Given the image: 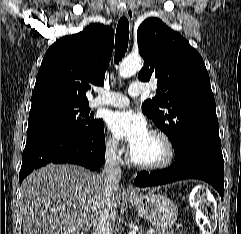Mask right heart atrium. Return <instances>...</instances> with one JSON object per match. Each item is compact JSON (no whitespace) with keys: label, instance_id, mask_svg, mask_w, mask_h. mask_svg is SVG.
<instances>
[{"label":"right heart atrium","instance_id":"obj_1","mask_svg":"<svg viewBox=\"0 0 241 234\" xmlns=\"http://www.w3.org/2000/svg\"><path fill=\"white\" fill-rule=\"evenodd\" d=\"M104 153L108 159L118 162L123 157L124 149L116 138L108 136L104 141Z\"/></svg>","mask_w":241,"mask_h":234}]
</instances>
